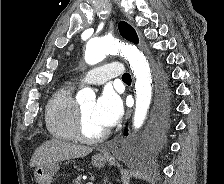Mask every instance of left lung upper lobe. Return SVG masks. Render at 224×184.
Returning <instances> with one entry per match:
<instances>
[{
  "label": "left lung upper lobe",
  "instance_id": "left-lung-upper-lobe-1",
  "mask_svg": "<svg viewBox=\"0 0 224 184\" xmlns=\"http://www.w3.org/2000/svg\"><path fill=\"white\" fill-rule=\"evenodd\" d=\"M119 31L120 34L122 35V37H124L126 40L133 42L135 44L138 43V37L137 34L135 32V30L126 22L121 21L119 22Z\"/></svg>",
  "mask_w": 224,
  "mask_h": 184
}]
</instances>
